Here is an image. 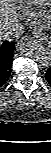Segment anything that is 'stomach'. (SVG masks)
I'll return each instance as SVG.
<instances>
[{"label": "stomach", "instance_id": "1", "mask_svg": "<svg viewBox=\"0 0 51 153\" xmlns=\"http://www.w3.org/2000/svg\"><path fill=\"white\" fill-rule=\"evenodd\" d=\"M50 39H51V37H50V35H49V37H48V41L50 42Z\"/></svg>", "mask_w": 51, "mask_h": 153}]
</instances>
